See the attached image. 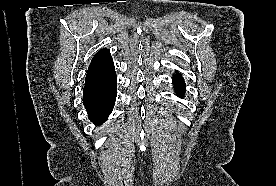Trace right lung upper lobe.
<instances>
[{"instance_id":"right-lung-upper-lobe-1","label":"right lung upper lobe","mask_w":276,"mask_h":186,"mask_svg":"<svg viewBox=\"0 0 276 186\" xmlns=\"http://www.w3.org/2000/svg\"><path fill=\"white\" fill-rule=\"evenodd\" d=\"M115 75L114 63L109 50L102 49L93 57L89 65L85 84L103 82Z\"/></svg>"}]
</instances>
